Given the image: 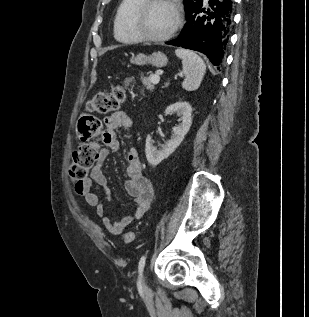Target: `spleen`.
Here are the masks:
<instances>
[{
  "instance_id": "1",
  "label": "spleen",
  "mask_w": 309,
  "mask_h": 317,
  "mask_svg": "<svg viewBox=\"0 0 309 317\" xmlns=\"http://www.w3.org/2000/svg\"><path fill=\"white\" fill-rule=\"evenodd\" d=\"M175 54L182 60L184 81L183 89L194 91L199 88L206 72V65L202 58L193 51L187 49H176Z\"/></svg>"
}]
</instances>
